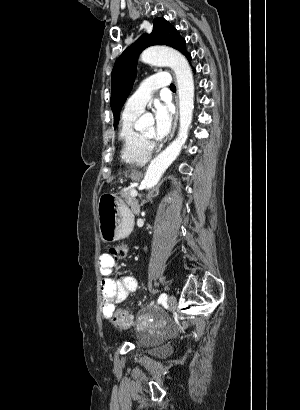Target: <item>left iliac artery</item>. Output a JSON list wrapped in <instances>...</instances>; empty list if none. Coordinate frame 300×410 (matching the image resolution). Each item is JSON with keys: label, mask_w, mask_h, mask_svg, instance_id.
I'll return each instance as SVG.
<instances>
[{"label": "left iliac artery", "mask_w": 300, "mask_h": 410, "mask_svg": "<svg viewBox=\"0 0 300 410\" xmlns=\"http://www.w3.org/2000/svg\"><path fill=\"white\" fill-rule=\"evenodd\" d=\"M167 299V295L165 293L161 294L160 297L158 298V303H162Z\"/></svg>", "instance_id": "44dca946"}]
</instances>
